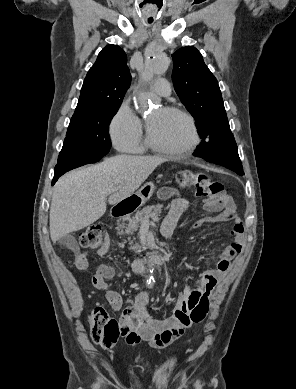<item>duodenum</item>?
Instances as JSON below:
<instances>
[{
    "mask_svg": "<svg viewBox=\"0 0 296 389\" xmlns=\"http://www.w3.org/2000/svg\"><path fill=\"white\" fill-rule=\"evenodd\" d=\"M138 205L139 202L135 199H125L114 206L112 216L121 218L133 212ZM163 258L164 254L162 252H155L150 258L134 261L132 263V270L136 274H145L153 265L160 263Z\"/></svg>",
    "mask_w": 296,
    "mask_h": 389,
    "instance_id": "obj_1",
    "label": "duodenum"
}]
</instances>
